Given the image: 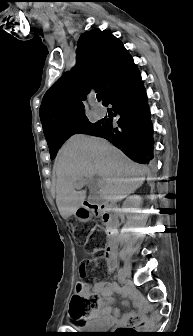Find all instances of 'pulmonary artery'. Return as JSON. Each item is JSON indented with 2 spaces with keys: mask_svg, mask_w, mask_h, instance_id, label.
I'll return each instance as SVG.
<instances>
[{
  "mask_svg": "<svg viewBox=\"0 0 193 336\" xmlns=\"http://www.w3.org/2000/svg\"><path fill=\"white\" fill-rule=\"evenodd\" d=\"M94 101V100H93ZM92 101V102H93ZM94 111H95V113H97L98 115H100V116H102V115H104V113H105V110L103 109V108H101V107H95L94 108Z\"/></svg>",
  "mask_w": 193,
  "mask_h": 336,
  "instance_id": "1",
  "label": "pulmonary artery"
}]
</instances>
